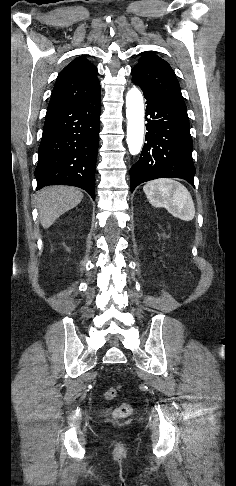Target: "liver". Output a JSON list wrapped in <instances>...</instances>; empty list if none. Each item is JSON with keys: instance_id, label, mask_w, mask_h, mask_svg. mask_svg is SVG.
Masks as SVG:
<instances>
[{"instance_id": "6515ba94", "label": "liver", "mask_w": 236, "mask_h": 486, "mask_svg": "<svg viewBox=\"0 0 236 486\" xmlns=\"http://www.w3.org/2000/svg\"><path fill=\"white\" fill-rule=\"evenodd\" d=\"M83 193L68 186H50L37 195L39 219L43 228H49L62 214L77 206Z\"/></svg>"}]
</instances>
